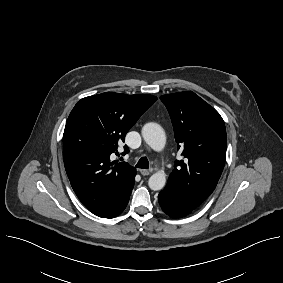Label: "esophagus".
Wrapping results in <instances>:
<instances>
[{"mask_svg":"<svg viewBox=\"0 0 283 283\" xmlns=\"http://www.w3.org/2000/svg\"><path fill=\"white\" fill-rule=\"evenodd\" d=\"M150 170L148 169H140V173L143 175V176H148L150 174Z\"/></svg>","mask_w":283,"mask_h":283,"instance_id":"34e87169","label":"esophagus"}]
</instances>
